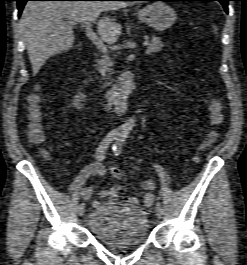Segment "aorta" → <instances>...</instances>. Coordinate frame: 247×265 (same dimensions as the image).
<instances>
[{
    "instance_id": "1",
    "label": "aorta",
    "mask_w": 247,
    "mask_h": 265,
    "mask_svg": "<svg viewBox=\"0 0 247 265\" xmlns=\"http://www.w3.org/2000/svg\"><path fill=\"white\" fill-rule=\"evenodd\" d=\"M135 117L132 116L130 117L127 122L122 126V129L125 131V132H130L132 130V128L134 127L135 125Z\"/></svg>"
}]
</instances>
